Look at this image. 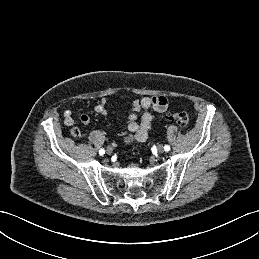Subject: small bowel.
I'll use <instances>...</instances> for the list:
<instances>
[{
	"mask_svg": "<svg viewBox=\"0 0 259 259\" xmlns=\"http://www.w3.org/2000/svg\"><path fill=\"white\" fill-rule=\"evenodd\" d=\"M168 107V101L163 96L143 97L135 100L131 105V112L123 125L122 132L124 134L125 143L144 142L148 138L149 130L153 121L152 111L163 113ZM95 112L100 115H107V100L101 99L94 108ZM141 111L140 116L138 112ZM64 124L72 126L75 123L72 111L67 109L63 113ZM83 124H88L90 118L86 114L80 116Z\"/></svg>",
	"mask_w": 259,
	"mask_h": 259,
	"instance_id": "small-bowel-1",
	"label": "small bowel"
}]
</instances>
